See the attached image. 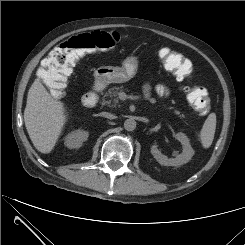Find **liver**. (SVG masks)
Returning <instances> with one entry per match:
<instances>
[{
	"mask_svg": "<svg viewBox=\"0 0 245 245\" xmlns=\"http://www.w3.org/2000/svg\"><path fill=\"white\" fill-rule=\"evenodd\" d=\"M64 103L53 98L41 82L40 76L31 85L24 110V122L35 148L50 153L66 122Z\"/></svg>",
	"mask_w": 245,
	"mask_h": 245,
	"instance_id": "obj_1",
	"label": "liver"
}]
</instances>
